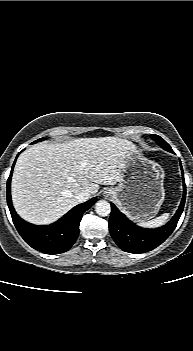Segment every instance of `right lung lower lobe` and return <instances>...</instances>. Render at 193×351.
I'll list each match as a JSON object with an SVG mask.
<instances>
[{
    "mask_svg": "<svg viewBox=\"0 0 193 351\" xmlns=\"http://www.w3.org/2000/svg\"><path fill=\"white\" fill-rule=\"evenodd\" d=\"M12 171L13 167L7 181V203L13 223L21 237L32 248L46 254H59L68 251L78 238L79 224L83 213L96 202L97 198H92L85 203L75 206L64 217L53 224L46 226L33 225L20 218L12 205Z\"/></svg>",
    "mask_w": 193,
    "mask_h": 351,
    "instance_id": "1",
    "label": "right lung lower lobe"
}]
</instances>
